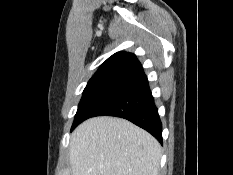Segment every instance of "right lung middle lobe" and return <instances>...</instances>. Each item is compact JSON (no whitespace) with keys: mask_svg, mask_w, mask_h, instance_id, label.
<instances>
[{"mask_svg":"<svg viewBox=\"0 0 233 175\" xmlns=\"http://www.w3.org/2000/svg\"><path fill=\"white\" fill-rule=\"evenodd\" d=\"M133 81L134 79L131 78L116 76L90 79L84 89L72 129L82 121L90 118L100 108L128 87Z\"/></svg>","mask_w":233,"mask_h":175,"instance_id":"1","label":"right lung middle lobe"}]
</instances>
